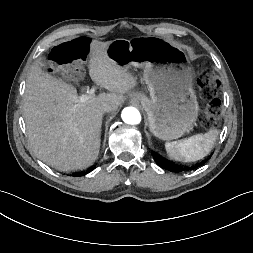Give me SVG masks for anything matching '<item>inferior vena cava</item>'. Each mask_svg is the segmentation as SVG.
I'll list each match as a JSON object with an SVG mask.
<instances>
[{
  "label": "inferior vena cava",
  "instance_id": "1",
  "mask_svg": "<svg viewBox=\"0 0 253 253\" xmlns=\"http://www.w3.org/2000/svg\"><path fill=\"white\" fill-rule=\"evenodd\" d=\"M101 109L103 112H111L114 111V106L109 103H103Z\"/></svg>",
  "mask_w": 253,
  "mask_h": 253
}]
</instances>
